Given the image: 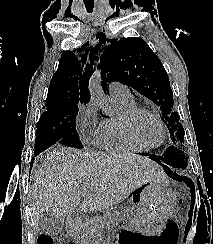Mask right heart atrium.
Masks as SVG:
<instances>
[{
	"instance_id": "1",
	"label": "right heart atrium",
	"mask_w": 213,
	"mask_h": 244,
	"mask_svg": "<svg viewBox=\"0 0 213 244\" xmlns=\"http://www.w3.org/2000/svg\"><path fill=\"white\" fill-rule=\"evenodd\" d=\"M77 131L81 139L87 144L96 143V134L99 128L97 108L89 102L80 107L76 117Z\"/></svg>"
}]
</instances>
